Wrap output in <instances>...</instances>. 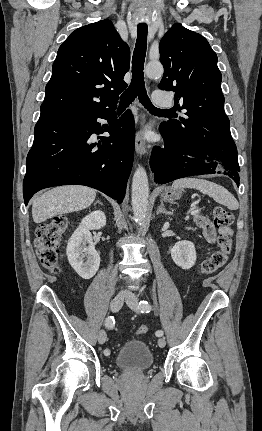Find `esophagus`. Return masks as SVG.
<instances>
[{
    "instance_id": "obj_1",
    "label": "esophagus",
    "mask_w": 262,
    "mask_h": 431,
    "mask_svg": "<svg viewBox=\"0 0 262 431\" xmlns=\"http://www.w3.org/2000/svg\"><path fill=\"white\" fill-rule=\"evenodd\" d=\"M147 144L143 139V134L140 130H137L135 135V150L140 155L143 156L147 152Z\"/></svg>"
}]
</instances>
